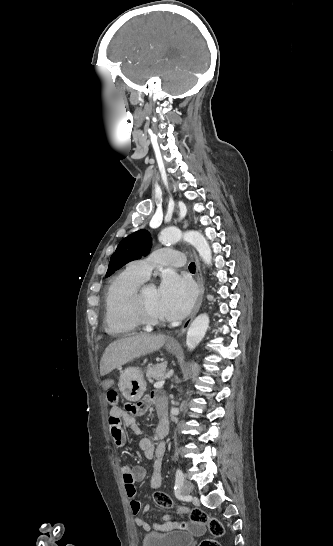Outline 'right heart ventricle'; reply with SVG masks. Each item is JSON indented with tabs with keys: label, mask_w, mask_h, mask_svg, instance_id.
<instances>
[{
	"label": "right heart ventricle",
	"mask_w": 333,
	"mask_h": 546,
	"mask_svg": "<svg viewBox=\"0 0 333 546\" xmlns=\"http://www.w3.org/2000/svg\"><path fill=\"white\" fill-rule=\"evenodd\" d=\"M145 280L133 266H129L110 281L104 298V323L108 333L125 335L140 329L129 300L133 291Z\"/></svg>",
	"instance_id": "e07e8e85"
}]
</instances>
